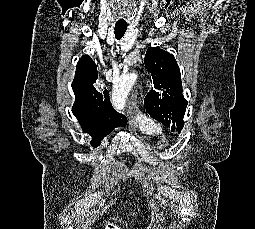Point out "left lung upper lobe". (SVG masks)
<instances>
[{
  "mask_svg": "<svg viewBox=\"0 0 255 229\" xmlns=\"http://www.w3.org/2000/svg\"><path fill=\"white\" fill-rule=\"evenodd\" d=\"M145 66L152 76L153 89L144 99L149 115L167 127L183 128L187 101L183 96L181 74L174 56L159 47L146 51Z\"/></svg>",
  "mask_w": 255,
  "mask_h": 229,
  "instance_id": "5c2ea615",
  "label": "left lung upper lobe"
}]
</instances>
